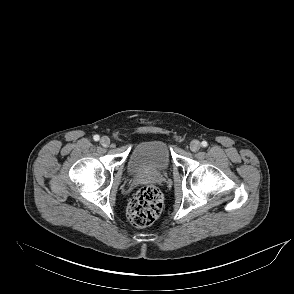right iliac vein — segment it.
I'll list each match as a JSON object with an SVG mask.
<instances>
[{
  "label": "right iliac vein",
  "mask_w": 294,
  "mask_h": 294,
  "mask_svg": "<svg viewBox=\"0 0 294 294\" xmlns=\"http://www.w3.org/2000/svg\"><path fill=\"white\" fill-rule=\"evenodd\" d=\"M100 143L103 147H108L110 145V139L109 137L107 136H103L101 139H100Z\"/></svg>",
  "instance_id": "right-iliac-vein-1"
}]
</instances>
